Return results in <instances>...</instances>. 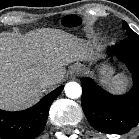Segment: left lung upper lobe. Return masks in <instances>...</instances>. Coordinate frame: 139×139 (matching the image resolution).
<instances>
[{"instance_id":"left-lung-upper-lobe-1","label":"left lung upper lobe","mask_w":139,"mask_h":139,"mask_svg":"<svg viewBox=\"0 0 139 139\" xmlns=\"http://www.w3.org/2000/svg\"><path fill=\"white\" fill-rule=\"evenodd\" d=\"M123 29L126 30L127 36H132V35L136 34L133 30L130 29V27L128 26V24L125 21H123Z\"/></svg>"}]
</instances>
